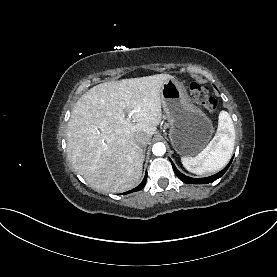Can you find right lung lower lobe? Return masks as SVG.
Returning <instances> with one entry per match:
<instances>
[{
    "label": "right lung lower lobe",
    "mask_w": 277,
    "mask_h": 277,
    "mask_svg": "<svg viewBox=\"0 0 277 277\" xmlns=\"http://www.w3.org/2000/svg\"><path fill=\"white\" fill-rule=\"evenodd\" d=\"M146 179H147V173H146L143 181L141 182V184L139 186H137L136 188H134V189H132V190H130V191L124 193V194L132 193V192H136V191L141 190L145 186V184H146Z\"/></svg>",
    "instance_id": "98d812e1"
}]
</instances>
